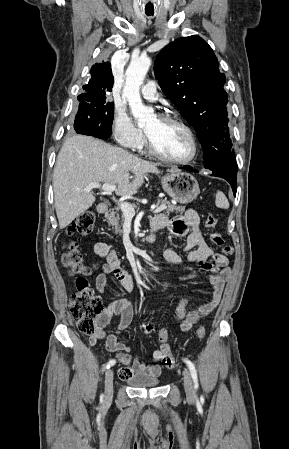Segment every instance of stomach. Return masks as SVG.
<instances>
[{
	"instance_id": "1",
	"label": "stomach",
	"mask_w": 289,
	"mask_h": 449,
	"mask_svg": "<svg viewBox=\"0 0 289 449\" xmlns=\"http://www.w3.org/2000/svg\"><path fill=\"white\" fill-rule=\"evenodd\" d=\"M163 190L181 204L192 202L200 193L197 180L189 173L172 170L161 178Z\"/></svg>"
}]
</instances>
